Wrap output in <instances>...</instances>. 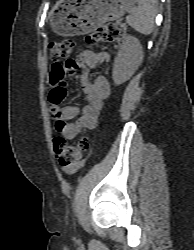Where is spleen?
Listing matches in <instances>:
<instances>
[{"instance_id": "obj_1", "label": "spleen", "mask_w": 194, "mask_h": 250, "mask_svg": "<svg viewBox=\"0 0 194 250\" xmlns=\"http://www.w3.org/2000/svg\"><path fill=\"white\" fill-rule=\"evenodd\" d=\"M138 6L126 17V22L136 31L148 35L154 28L157 0H137Z\"/></svg>"}]
</instances>
